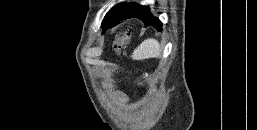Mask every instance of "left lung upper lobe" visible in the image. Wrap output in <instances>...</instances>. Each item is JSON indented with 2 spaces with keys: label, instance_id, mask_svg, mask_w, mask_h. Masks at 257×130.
<instances>
[{
  "label": "left lung upper lobe",
  "instance_id": "left-lung-upper-lobe-1",
  "mask_svg": "<svg viewBox=\"0 0 257 130\" xmlns=\"http://www.w3.org/2000/svg\"><path fill=\"white\" fill-rule=\"evenodd\" d=\"M125 4H126V3H121V4L117 5V6H114V7L111 9V11L106 14V16H105V18H104V20H103V22H102V25L105 26V21H106V19L112 14V12L114 11V9L119 8V7H121V6L125 5Z\"/></svg>",
  "mask_w": 257,
  "mask_h": 130
}]
</instances>
